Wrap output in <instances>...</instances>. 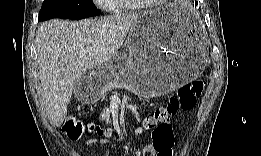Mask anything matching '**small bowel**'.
<instances>
[{
    "mask_svg": "<svg viewBox=\"0 0 261 156\" xmlns=\"http://www.w3.org/2000/svg\"><path fill=\"white\" fill-rule=\"evenodd\" d=\"M172 132H173V137L175 138L176 131L174 129H172ZM95 144L105 145V144H107V140L102 139V138H91L84 142V146H86V147L95 145ZM140 155L141 156H161L153 142L151 144L146 145L142 149ZM165 156H170V154L165 155Z\"/></svg>",
    "mask_w": 261,
    "mask_h": 156,
    "instance_id": "obj_1",
    "label": "small bowel"
}]
</instances>
